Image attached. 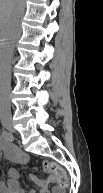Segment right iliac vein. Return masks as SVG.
<instances>
[{"label":"right iliac vein","mask_w":103,"mask_h":193,"mask_svg":"<svg viewBox=\"0 0 103 193\" xmlns=\"http://www.w3.org/2000/svg\"><path fill=\"white\" fill-rule=\"evenodd\" d=\"M3 126H4L7 130H9V131H11V132L14 131L13 124H12L11 121H4V122H3Z\"/></svg>","instance_id":"1"}]
</instances>
